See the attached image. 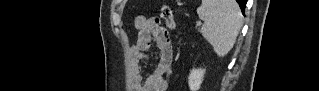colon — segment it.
Listing matches in <instances>:
<instances>
[{
  "mask_svg": "<svg viewBox=\"0 0 319 91\" xmlns=\"http://www.w3.org/2000/svg\"><path fill=\"white\" fill-rule=\"evenodd\" d=\"M161 17L164 19L168 30H173L175 28L174 12L170 6L168 5L162 6Z\"/></svg>",
  "mask_w": 319,
  "mask_h": 91,
  "instance_id": "colon-1",
  "label": "colon"
}]
</instances>
